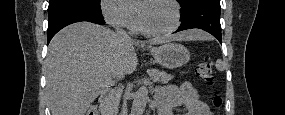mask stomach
Returning <instances> with one entry per match:
<instances>
[{
	"instance_id": "0dacf381",
	"label": "stomach",
	"mask_w": 285,
	"mask_h": 115,
	"mask_svg": "<svg viewBox=\"0 0 285 115\" xmlns=\"http://www.w3.org/2000/svg\"><path fill=\"white\" fill-rule=\"evenodd\" d=\"M151 55L157 63L168 69L179 68L190 59L188 49L182 44L174 42L151 48Z\"/></svg>"
}]
</instances>
